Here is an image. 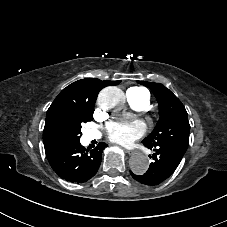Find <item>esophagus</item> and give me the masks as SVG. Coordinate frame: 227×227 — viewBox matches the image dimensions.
I'll list each match as a JSON object with an SVG mask.
<instances>
[{
    "label": "esophagus",
    "instance_id": "esophagus-1",
    "mask_svg": "<svg viewBox=\"0 0 227 227\" xmlns=\"http://www.w3.org/2000/svg\"><path fill=\"white\" fill-rule=\"evenodd\" d=\"M126 153H128L132 158H135L137 156L135 149L125 150Z\"/></svg>",
    "mask_w": 227,
    "mask_h": 227
}]
</instances>
